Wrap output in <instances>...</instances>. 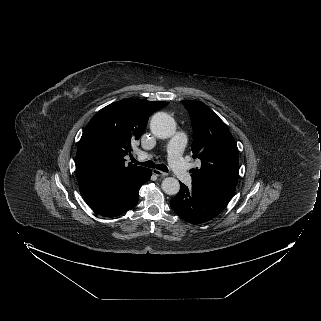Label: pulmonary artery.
I'll use <instances>...</instances> for the list:
<instances>
[{
    "label": "pulmonary artery",
    "mask_w": 321,
    "mask_h": 321,
    "mask_svg": "<svg viewBox=\"0 0 321 321\" xmlns=\"http://www.w3.org/2000/svg\"><path fill=\"white\" fill-rule=\"evenodd\" d=\"M186 144V136L178 132L169 141L167 146L168 162L176 177L184 184L191 185L192 177L187 168V164L182 157V152ZM147 153H141L140 158H147Z\"/></svg>",
    "instance_id": "e3ab8cb5"
}]
</instances>
